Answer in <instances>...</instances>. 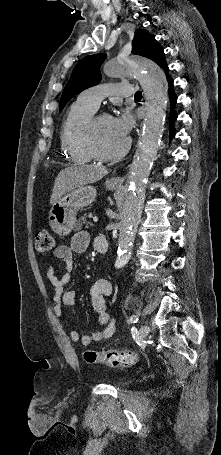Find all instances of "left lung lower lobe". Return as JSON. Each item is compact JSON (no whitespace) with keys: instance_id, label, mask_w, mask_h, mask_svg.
Masks as SVG:
<instances>
[{"instance_id":"0a47b994","label":"left lung lower lobe","mask_w":221,"mask_h":455,"mask_svg":"<svg viewBox=\"0 0 221 455\" xmlns=\"http://www.w3.org/2000/svg\"><path fill=\"white\" fill-rule=\"evenodd\" d=\"M164 71L167 75V80H168V83H169V92H170V138L171 137H174L175 135V131H174V128H173V123L174 121L177 119V113L174 111V106L177 102V96L175 95L174 91H173V79L168 75V71H169V68L168 66L166 65L164 68Z\"/></svg>"}]
</instances>
